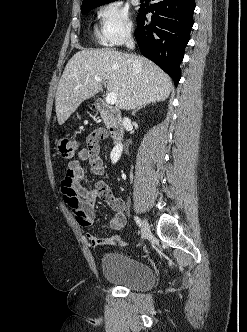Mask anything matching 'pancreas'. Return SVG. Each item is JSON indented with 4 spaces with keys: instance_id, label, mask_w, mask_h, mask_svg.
<instances>
[{
    "instance_id": "pancreas-1",
    "label": "pancreas",
    "mask_w": 247,
    "mask_h": 332,
    "mask_svg": "<svg viewBox=\"0 0 247 332\" xmlns=\"http://www.w3.org/2000/svg\"><path fill=\"white\" fill-rule=\"evenodd\" d=\"M102 118H103V121H104V123H105L106 127H107V128H109V125H110V122H109V120H108V119H106L104 115H102Z\"/></svg>"
}]
</instances>
